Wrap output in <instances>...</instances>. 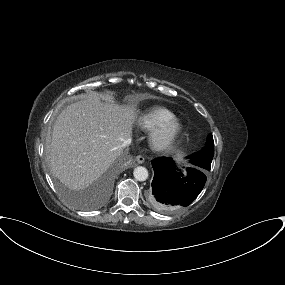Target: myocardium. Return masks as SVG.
Returning <instances> with one entry per match:
<instances>
[{"label":"myocardium","instance_id":"f54148a6","mask_svg":"<svg viewBox=\"0 0 285 285\" xmlns=\"http://www.w3.org/2000/svg\"><path fill=\"white\" fill-rule=\"evenodd\" d=\"M180 130L181 125L177 120L170 121L152 132L150 142L159 151L168 150L176 142Z\"/></svg>","mask_w":285,"mask_h":285}]
</instances>
